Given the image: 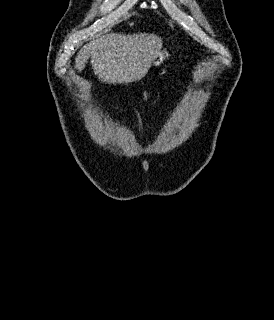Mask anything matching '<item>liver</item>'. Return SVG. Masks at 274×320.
<instances>
[{"mask_svg":"<svg viewBox=\"0 0 274 320\" xmlns=\"http://www.w3.org/2000/svg\"><path fill=\"white\" fill-rule=\"evenodd\" d=\"M162 48L155 34H105L79 50L75 70L82 72L91 58L92 70L105 84H129L146 76Z\"/></svg>","mask_w":274,"mask_h":320,"instance_id":"liver-1","label":"liver"}]
</instances>
